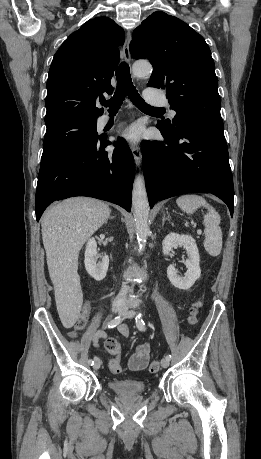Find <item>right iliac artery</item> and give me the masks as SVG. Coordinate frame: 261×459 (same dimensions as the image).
Masks as SVG:
<instances>
[{
  "instance_id": "1",
  "label": "right iliac artery",
  "mask_w": 261,
  "mask_h": 459,
  "mask_svg": "<svg viewBox=\"0 0 261 459\" xmlns=\"http://www.w3.org/2000/svg\"><path fill=\"white\" fill-rule=\"evenodd\" d=\"M124 319H125L124 314H119V315L116 316L113 320H111L110 322H108L107 327H108V328H114V327H116L117 325H119ZM97 358H98V357H94V360L89 359V360H88V363H89L90 365H93L94 362H95V360H96Z\"/></svg>"
}]
</instances>
